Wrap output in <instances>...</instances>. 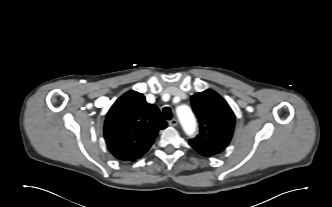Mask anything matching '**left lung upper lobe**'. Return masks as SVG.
I'll return each instance as SVG.
<instances>
[{
  "label": "left lung upper lobe",
  "mask_w": 332,
  "mask_h": 207,
  "mask_svg": "<svg viewBox=\"0 0 332 207\" xmlns=\"http://www.w3.org/2000/svg\"><path fill=\"white\" fill-rule=\"evenodd\" d=\"M200 133L190 145L201 155L222 152L229 144L235 126V115L227 102L215 91L207 89L191 97Z\"/></svg>",
  "instance_id": "1"
}]
</instances>
